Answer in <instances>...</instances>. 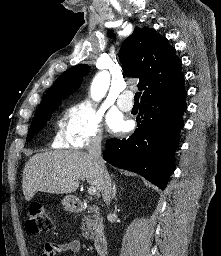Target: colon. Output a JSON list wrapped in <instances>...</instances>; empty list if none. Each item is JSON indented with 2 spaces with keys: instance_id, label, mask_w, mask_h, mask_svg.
I'll return each mask as SVG.
<instances>
[{
  "instance_id": "obj_1",
  "label": "colon",
  "mask_w": 221,
  "mask_h": 256,
  "mask_svg": "<svg viewBox=\"0 0 221 256\" xmlns=\"http://www.w3.org/2000/svg\"><path fill=\"white\" fill-rule=\"evenodd\" d=\"M51 219L45 207L38 202L29 206L26 228L31 233L46 232L51 228Z\"/></svg>"
}]
</instances>
